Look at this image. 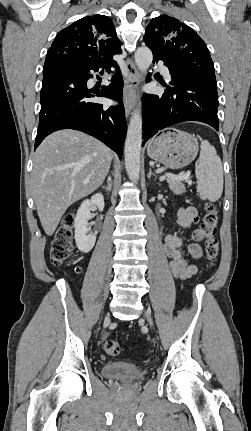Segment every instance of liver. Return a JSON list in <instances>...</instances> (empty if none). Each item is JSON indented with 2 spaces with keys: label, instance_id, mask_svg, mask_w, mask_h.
Instances as JSON below:
<instances>
[{
  "label": "liver",
  "instance_id": "1",
  "mask_svg": "<svg viewBox=\"0 0 251 431\" xmlns=\"http://www.w3.org/2000/svg\"><path fill=\"white\" fill-rule=\"evenodd\" d=\"M112 157L105 144L80 131L60 130L44 139L34 154L31 181L37 213L48 236L69 206L101 186Z\"/></svg>",
  "mask_w": 251,
  "mask_h": 431
}]
</instances>
